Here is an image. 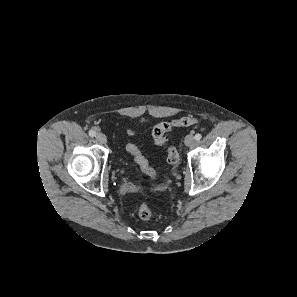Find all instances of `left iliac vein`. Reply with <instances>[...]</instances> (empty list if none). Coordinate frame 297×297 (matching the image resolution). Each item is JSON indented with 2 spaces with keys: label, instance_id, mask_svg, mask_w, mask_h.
<instances>
[{
  "label": "left iliac vein",
  "instance_id": "left-iliac-vein-1",
  "mask_svg": "<svg viewBox=\"0 0 297 297\" xmlns=\"http://www.w3.org/2000/svg\"><path fill=\"white\" fill-rule=\"evenodd\" d=\"M184 143L186 146L190 147L195 143V138L193 137V135L188 134L184 139Z\"/></svg>",
  "mask_w": 297,
  "mask_h": 297
}]
</instances>
